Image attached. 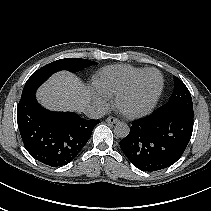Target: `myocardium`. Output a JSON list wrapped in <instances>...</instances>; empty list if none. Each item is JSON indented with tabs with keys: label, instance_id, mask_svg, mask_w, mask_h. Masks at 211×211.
Listing matches in <instances>:
<instances>
[{
	"label": "myocardium",
	"instance_id": "myocardium-1",
	"mask_svg": "<svg viewBox=\"0 0 211 211\" xmlns=\"http://www.w3.org/2000/svg\"><path fill=\"white\" fill-rule=\"evenodd\" d=\"M150 72H156L160 75L161 77V85L160 88L157 92V94L155 95V97L153 98V100L144 108L142 109H138V110H130V109H126L124 107V101L135 91V89L137 88L138 84L140 83V81L142 80V78L150 73ZM164 86H165V79L163 74L155 68H149V69H145L143 72H141L137 77H135L132 82L125 88L123 89L117 96L115 99V104L116 107L118 108V110L125 115L126 117L129 118H138V117H142L147 115L148 113H150L158 104L161 95L163 93L164 90Z\"/></svg>",
	"mask_w": 211,
	"mask_h": 211
}]
</instances>
